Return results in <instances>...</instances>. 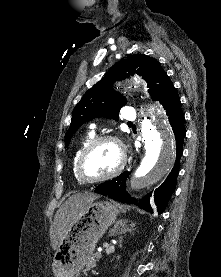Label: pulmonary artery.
Wrapping results in <instances>:
<instances>
[{
    "mask_svg": "<svg viewBox=\"0 0 221 277\" xmlns=\"http://www.w3.org/2000/svg\"><path fill=\"white\" fill-rule=\"evenodd\" d=\"M123 118L129 122H132L136 118L135 111L131 107H124L122 111ZM94 128V125H92Z\"/></svg>",
    "mask_w": 221,
    "mask_h": 277,
    "instance_id": "e3ab8cb5",
    "label": "pulmonary artery"
}]
</instances>
